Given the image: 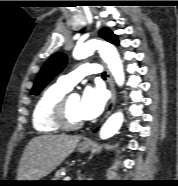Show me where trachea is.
I'll list each match as a JSON object with an SVG mask.
<instances>
[{
  "mask_svg": "<svg viewBox=\"0 0 178 186\" xmlns=\"http://www.w3.org/2000/svg\"><path fill=\"white\" fill-rule=\"evenodd\" d=\"M102 76H103V78H105V76H106V73L104 72Z\"/></svg>",
  "mask_w": 178,
  "mask_h": 186,
  "instance_id": "1",
  "label": "trachea"
}]
</instances>
